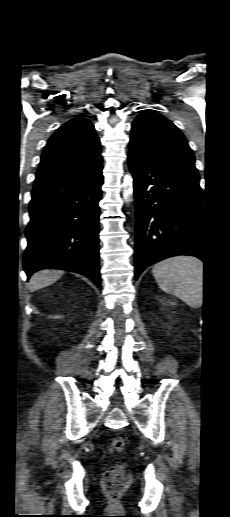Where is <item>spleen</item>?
<instances>
[{"label": "spleen", "mask_w": 230, "mask_h": 517, "mask_svg": "<svg viewBox=\"0 0 230 517\" xmlns=\"http://www.w3.org/2000/svg\"><path fill=\"white\" fill-rule=\"evenodd\" d=\"M152 274L160 289L192 308L203 303V263L191 256H178L157 263Z\"/></svg>", "instance_id": "1"}]
</instances>
